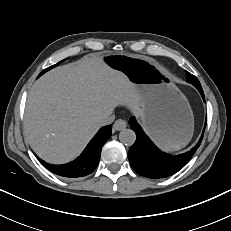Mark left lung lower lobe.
Listing matches in <instances>:
<instances>
[{
  "label": "left lung lower lobe",
  "instance_id": "1",
  "mask_svg": "<svg viewBox=\"0 0 231 231\" xmlns=\"http://www.w3.org/2000/svg\"><path fill=\"white\" fill-rule=\"evenodd\" d=\"M198 90L204 99L202 88ZM129 124L136 133V141L128 152L130 164L139 175L152 179L166 178L181 170L200 146L203 138L202 134L200 141L190 151L172 156L153 144L134 117L130 118Z\"/></svg>",
  "mask_w": 231,
  "mask_h": 231
}]
</instances>
